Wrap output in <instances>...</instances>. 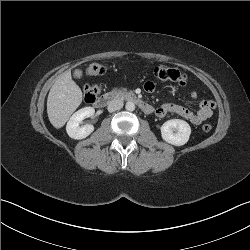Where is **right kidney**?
I'll return each instance as SVG.
<instances>
[{"instance_id": "obj_1", "label": "right kidney", "mask_w": 250, "mask_h": 250, "mask_svg": "<svg viewBox=\"0 0 250 250\" xmlns=\"http://www.w3.org/2000/svg\"><path fill=\"white\" fill-rule=\"evenodd\" d=\"M94 113L95 110L93 107H84L75 112L70 117L66 126V131L69 137L80 140L89 136L94 131V126L91 124L80 126V123L83 119L93 116Z\"/></svg>"}]
</instances>
